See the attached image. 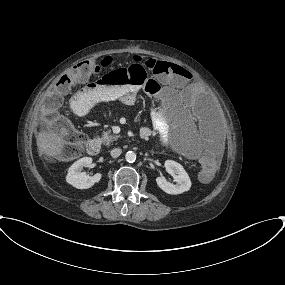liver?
<instances>
[{
    "instance_id": "1",
    "label": "liver",
    "mask_w": 285,
    "mask_h": 285,
    "mask_svg": "<svg viewBox=\"0 0 285 285\" xmlns=\"http://www.w3.org/2000/svg\"><path fill=\"white\" fill-rule=\"evenodd\" d=\"M37 146L40 156L56 158L61 156L66 144L63 136L53 131H40L36 136Z\"/></svg>"
}]
</instances>
